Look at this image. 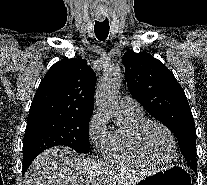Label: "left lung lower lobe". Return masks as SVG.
<instances>
[{"mask_svg": "<svg viewBox=\"0 0 207 185\" xmlns=\"http://www.w3.org/2000/svg\"><path fill=\"white\" fill-rule=\"evenodd\" d=\"M191 168H192V170H193L195 173H197V165H194V166H192Z\"/></svg>", "mask_w": 207, "mask_h": 185, "instance_id": "obj_1", "label": "left lung lower lobe"}]
</instances>
